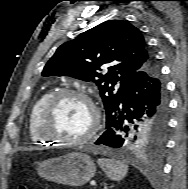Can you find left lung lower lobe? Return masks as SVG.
Returning a JSON list of instances; mask_svg holds the SVG:
<instances>
[{
  "mask_svg": "<svg viewBox=\"0 0 188 189\" xmlns=\"http://www.w3.org/2000/svg\"><path fill=\"white\" fill-rule=\"evenodd\" d=\"M168 98L156 60L126 83L118 108L106 121V131L95 142L113 148L126 147L132 129L151 124L167 126Z\"/></svg>",
  "mask_w": 188,
  "mask_h": 189,
  "instance_id": "0a47b994",
  "label": "left lung lower lobe"
}]
</instances>
